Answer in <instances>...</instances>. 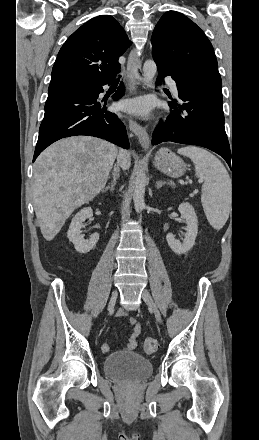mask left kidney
Here are the masks:
<instances>
[{"mask_svg":"<svg viewBox=\"0 0 259 440\" xmlns=\"http://www.w3.org/2000/svg\"><path fill=\"white\" fill-rule=\"evenodd\" d=\"M181 218L186 221V233L183 242L175 239L174 234L168 233L166 240L172 251L178 255L187 253L195 244L198 232V219L190 203H181L178 208Z\"/></svg>","mask_w":259,"mask_h":440,"instance_id":"obj_1","label":"left kidney"}]
</instances>
